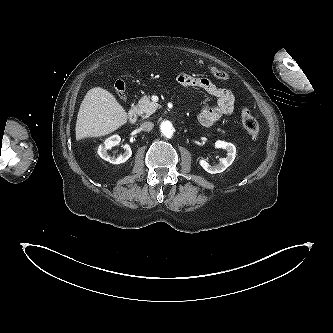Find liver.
Instances as JSON below:
<instances>
[{
  "label": "liver",
  "mask_w": 333,
  "mask_h": 333,
  "mask_svg": "<svg viewBox=\"0 0 333 333\" xmlns=\"http://www.w3.org/2000/svg\"><path fill=\"white\" fill-rule=\"evenodd\" d=\"M128 115L115 96L101 87L90 89L76 121V139L107 135L127 123Z\"/></svg>",
  "instance_id": "obj_1"
}]
</instances>
